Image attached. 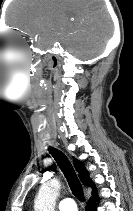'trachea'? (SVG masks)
Masks as SVG:
<instances>
[{
    "label": "trachea",
    "mask_w": 133,
    "mask_h": 211,
    "mask_svg": "<svg viewBox=\"0 0 133 211\" xmlns=\"http://www.w3.org/2000/svg\"><path fill=\"white\" fill-rule=\"evenodd\" d=\"M49 151H50L51 155L54 157V159L56 160L61 171L63 172L73 195L78 200L83 202L85 200L83 188H82V185L77 177V174H76L72 164L70 163L68 158L61 151L54 149L52 147L49 148Z\"/></svg>",
    "instance_id": "3493384b"
}]
</instances>
